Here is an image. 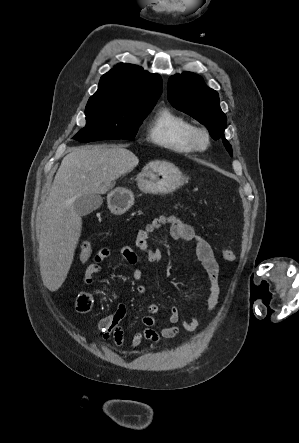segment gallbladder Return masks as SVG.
Listing matches in <instances>:
<instances>
[{
    "instance_id": "bac80fb5",
    "label": "gallbladder",
    "mask_w": 299,
    "mask_h": 443,
    "mask_svg": "<svg viewBox=\"0 0 299 443\" xmlns=\"http://www.w3.org/2000/svg\"><path fill=\"white\" fill-rule=\"evenodd\" d=\"M102 202L99 194H84L74 201V210L79 216H86L100 208Z\"/></svg>"
}]
</instances>
